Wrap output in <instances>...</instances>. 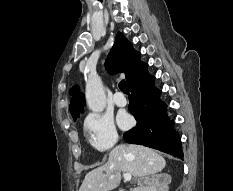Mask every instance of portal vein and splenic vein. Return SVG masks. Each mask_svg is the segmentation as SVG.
<instances>
[{
    "label": "portal vein and splenic vein",
    "instance_id": "1",
    "mask_svg": "<svg viewBox=\"0 0 233 191\" xmlns=\"http://www.w3.org/2000/svg\"><path fill=\"white\" fill-rule=\"evenodd\" d=\"M132 179V175L130 173H124V180L130 181Z\"/></svg>",
    "mask_w": 233,
    "mask_h": 191
}]
</instances>
